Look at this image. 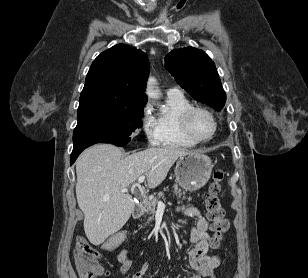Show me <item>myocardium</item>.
<instances>
[{"label":"myocardium","mask_w":308,"mask_h":278,"mask_svg":"<svg viewBox=\"0 0 308 278\" xmlns=\"http://www.w3.org/2000/svg\"><path fill=\"white\" fill-rule=\"evenodd\" d=\"M196 111L205 112L206 114H208L210 116V118L213 121V125H214L213 131H212L211 135L206 137V138L197 137L196 135L193 134V132L190 129L189 119H190L191 115ZM178 121H179V126H180L183 134L188 139L195 142L196 144L210 141L215 136L217 129H218V122H217V119H216V116L214 115V113L211 110H209L208 108L203 107V106H199V105H195V106L191 105V106L187 107L186 109H184L180 113V115L178 117Z\"/></svg>","instance_id":"1"}]
</instances>
